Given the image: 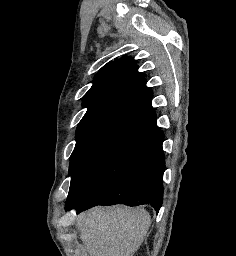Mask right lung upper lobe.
<instances>
[{"instance_id":"obj_1","label":"right lung upper lobe","mask_w":236,"mask_h":256,"mask_svg":"<svg viewBox=\"0 0 236 256\" xmlns=\"http://www.w3.org/2000/svg\"><path fill=\"white\" fill-rule=\"evenodd\" d=\"M152 97L136 61L126 56L115 59L95 75L92 87L84 96L83 105L88 109L80 123L122 116L156 125Z\"/></svg>"}]
</instances>
